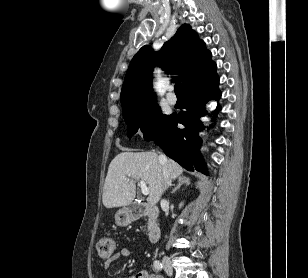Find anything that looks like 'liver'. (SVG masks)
<instances>
[{
	"instance_id": "1",
	"label": "liver",
	"mask_w": 308,
	"mask_h": 278,
	"mask_svg": "<svg viewBox=\"0 0 308 278\" xmlns=\"http://www.w3.org/2000/svg\"><path fill=\"white\" fill-rule=\"evenodd\" d=\"M170 178L176 179L183 168L167 160ZM148 185V203L154 206L165 190L163 164L156 152H121L110 163L103 188L102 201L106 208L130 205L136 195V180Z\"/></svg>"
}]
</instances>
